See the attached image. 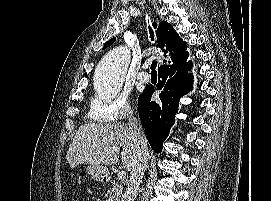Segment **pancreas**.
Returning a JSON list of instances; mask_svg holds the SVG:
<instances>
[{
	"instance_id": "cf45deb5",
	"label": "pancreas",
	"mask_w": 271,
	"mask_h": 201,
	"mask_svg": "<svg viewBox=\"0 0 271 201\" xmlns=\"http://www.w3.org/2000/svg\"><path fill=\"white\" fill-rule=\"evenodd\" d=\"M122 185L118 182H113V186L104 194L108 199L106 201H119L122 195Z\"/></svg>"
}]
</instances>
